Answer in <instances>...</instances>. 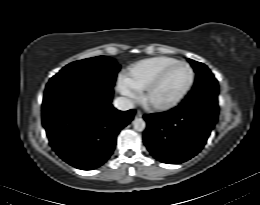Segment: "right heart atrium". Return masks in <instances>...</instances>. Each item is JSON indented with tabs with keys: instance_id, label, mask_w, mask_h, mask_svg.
Returning <instances> with one entry per match:
<instances>
[{
	"instance_id": "right-heart-atrium-1",
	"label": "right heart atrium",
	"mask_w": 260,
	"mask_h": 205,
	"mask_svg": "<svg viewBox=\"0 0 260 205\" xmlns=\"http://www.w3.org/2000/svg\"><path fill=\"white\" fill-rule=\"evenodd\" d=\"M119 91L128 99L135 100L138 98L139 92L128 85L122 78L119 82Z\"/></svg>"
}]
</instances>
